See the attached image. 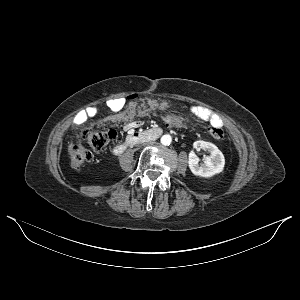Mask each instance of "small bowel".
Segmentation results:
<instances>
[{
    "label": "small bowel",
    "mask_w": 300,
    "mask_h": 300,
    "mask_svg": "<svg viewBox=\"0 0 300 300\" xmlns=\"http://www.w3.org/2000/svg\"><path fill=\"white\" fill-rule=\"evenodd\" d=\"M191 113L199 118H202L204 120L209 121L212 125L215 126H221L222 125V120L220 117L209 111L208 109H205L200 106H193L190 109ZM98 108L97 107H89L81 112H79L75 118H74V123L76 125H82L86 123L90 118L95 117L98 114ZM140 125L139 121H131L128 123L127 128H136Z\"/></svg>",
    "instance_id": "obj_1"
}]
</instances>
